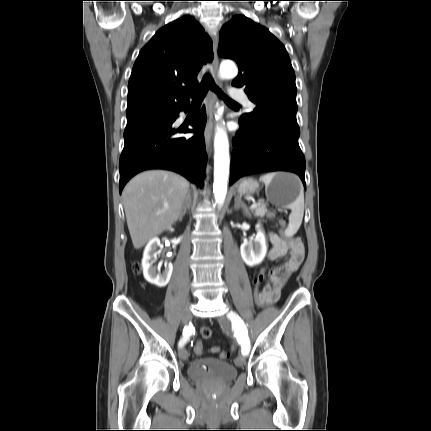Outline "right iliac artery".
I'll list each match as a JSON object with an SVG mask.
<instances>
[{"mask_svg":"<svg viewBox=\"0 0 431 431\" xmlns=\"http://www.w3.org/2000/svg\"><path fill=\"white\" fill-rule=\"evenodd\" d=\"M192 332H193V327L191 325L184 327L183 338L180 341L179 346H182L188 340V338L192 334Z\"/></svg>","mask_w":431,"mask_h":431,"instance_id":"1","label":"right iliac artery"}]
</instances>
